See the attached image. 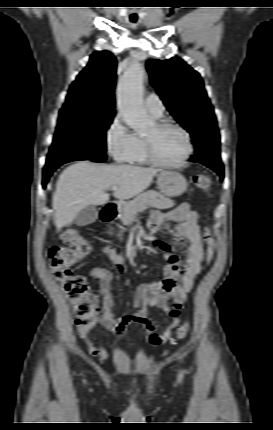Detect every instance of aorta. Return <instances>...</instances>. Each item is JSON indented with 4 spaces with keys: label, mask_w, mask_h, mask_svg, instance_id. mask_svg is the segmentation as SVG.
Listing matches in <instances>:
<instances>
[{
    "label": "aorta",
    "mask_w": 273,
    "mask_h": 430,
    "mask_svg": "<svg viewBox=\"0 0 273 430\" xmlns=\"http://www.w3.org/2000/svg\"><path fill=\"white\" fill-rule=\"evenodd\" d=\"M144 67L134 63L123 75L117 86V106L126 124L138 133L147 131L153 122L143 103Z\"/></svg>",
    "instance_id": "obj_1"
}]
</instances>
